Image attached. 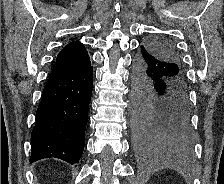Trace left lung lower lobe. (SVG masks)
Here are the masks:
<instances>
[{"label": "left lung lower lobe", "instance_id": "left-lung-lower-lobe-1", "mask_svg": "<svg viewBox=\"0 0 224 184\" xmlns=\"http://www.w3.org/2000/svg\"><path fill=\"white\" fill-rule=\"evenodd\" d=\"M133 137L148 154L192 148L188 90L182 68L154 57L143 46L132 74Z\"/></svg>", "mask_w": 224, "mask_h": 184}]
</instances>
